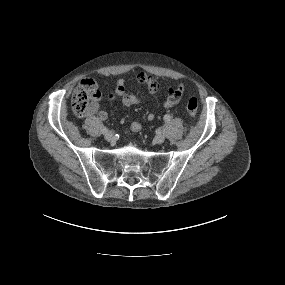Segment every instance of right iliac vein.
<instances>
[{"label":"right iliac vein","instance_id":"1","mask_svg":"<svg viewBox=\"0 0 285 285\" xmlns=\"http://www.w3.org/2000/svg\"><path fill=\"white\" fill-rule=\"evenodd\" d=\"M105 139H106L107 141H109V142L114 141V140H115V135H114V133H113V132H107V133L105 134Z\"/></svg>","mask_w":285,"mask_h":285}]
</instances>
